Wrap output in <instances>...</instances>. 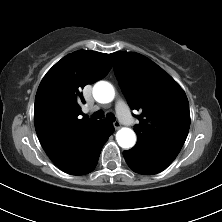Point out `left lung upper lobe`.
Returning a JSON list of instances; mask_svg holds the SVG:
<instances>
[{
  "label": "left lung upper lobe",
  "mask_w": 222,
  "mask_h": 222,
  "mask_svg": "<svg viewBox=\"0 0 222 222\" xmlns=\"http://www.w3.org/2000/svg\"><path fill=\"white\" fill-rule=\"evenodd\" d=\"M121 90L131 109L141 111L134 126L133 149L170 164L180 152L190 127L189 103L183 89L147 57L133 52L110 54Z\"/></svg>",
  "instance_id": "obj_1"
}]
</instances>
